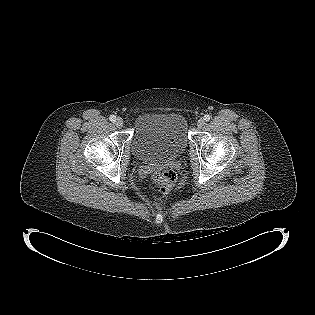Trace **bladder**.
<instances>
[{"label": "bladder", "instance_id": "1", "mask_svg": "<svg viewBox=\"0 0 315 315\" xmlns=\"http://www.w3.org/2000/svg\"><path fill=\"white\" fill-rule=\"evenodd\" d=\"M188 124L176 111L140 114L131 139L134 156L147 163L174 160L187 148Z\"/></svg>", "mask_w": 315, "mask_h": 315}]
</instances>
